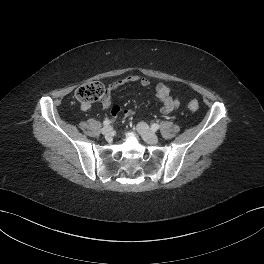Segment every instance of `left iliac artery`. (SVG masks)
<instances>
[{
  "label": "left iliac artery",
  "mask_w": 264,
  "mask_h": 264,
  "mask_svg": "<svg viewBox=\"0 0 264 264\" xmlns=\"http://www.w3.org/2000/svg\"><path fill=\"white\" fill-rule=\"evenodd\" d=\"M160 128V125L159 124H153L152 126H151V129L153 130V131H156V130H158Z\"/></svg>",
  "instance_id": "obj_1"
}]
</instances>
